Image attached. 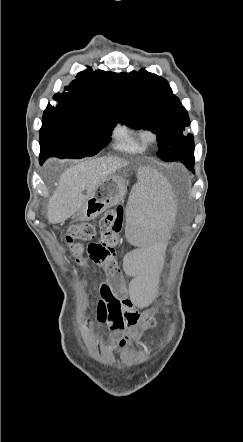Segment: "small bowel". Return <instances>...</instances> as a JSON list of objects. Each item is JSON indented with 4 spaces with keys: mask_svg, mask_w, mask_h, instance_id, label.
<instances>
[{
    "mask_svg": "<svg viewBox=\"0 0 243 442\" xmlns=\"http://www.w3.org/2000/svg\"><path fill=\"white\" fill-rule=\"evenodd\" d=\"M93 261L105 270L108 278L99 287L100 299L95 310V320L107 328L111 339V344L106 347L107 352H121L130 343L140 341L144 332L156 326L154 312L146 311L139 314L128 299L116 257L110 263ZM90 322L91 317L87 316L85 328L89 327Z\"/></svg>",
    "mask_w": 243,
    "mask_h": 442,
    "instance_id": "obj_1",
    "label": "small bowel"
}]
</instances>
